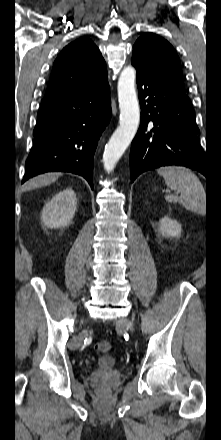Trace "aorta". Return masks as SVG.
<instances>
[{
	"instance_id": "762f6f07",
	"label": "aorta",
	"mask_w": 221,
	"mask_h": 440,
	"mask_svg": "<svg viewBox=\"0 0 221 440\" xmlns=\"http://www.w3.org/2000/svg\"><path fill=\"white\" fill-rule=\"evenodd\" d=\"M136 71L125 67L118 80V100L120 108L119 125L109 139L104 154L105 170L111 172L131 141L140 122V108L135 90Z\"/></svg>"
}]
</instances>
